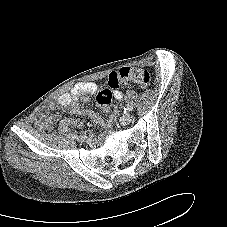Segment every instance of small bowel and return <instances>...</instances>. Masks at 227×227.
Instances as JSON below:
<instances>
[{"label": "small bowel", "instance_id": "1", "mask_svg": "<svg viewBox=\"0 0 227 227\" xmlns=\"http://www.w3.org/2000/svg\"><path fill=\"white\" fill-rule=\"evenodd\" d=\"M98 89V86L94 82H79L75 84L70 91L60 94L55 103L48 104L44 111L38 118L37 125L40 130H46L52 124L61 121L63 124H70L77 127H81V123L74 119L60 120L58 114H49L55 109L56 106L67 108L71 113L77 115H83L91 118L96 124L101 126H110L112 117L116 112V107L111 106L108 110L104 111L108 115V118L104 119L96 112L86 109L79 103L80 100L86 101V95L94 94ZM114 96L117 100L121 99V93L116 91Z\"/></svg>", "mask_w": 227, "mask_h": 227}]
</instances>
